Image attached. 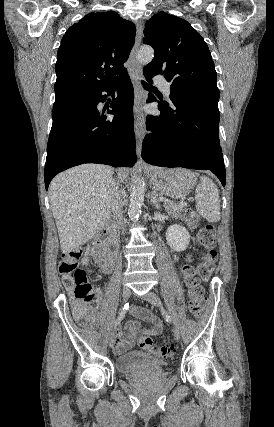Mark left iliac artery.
<instances>
[{"label": "left iliac artery", "instance_id": "left-iliac-artery-1", "mask_svg": "<svg viewBox=\"0 0 274 427\" xmlns=\"http://www.w3.org/2000/svg\"><path fill=\"white\" fill-rule=\"evenodd\" d=\"M162 315L164 316L166 322L171 323V316L165 310H162Z\"/></svg>", "mask_w": 274, "mask_h": 427}]
</instances>
